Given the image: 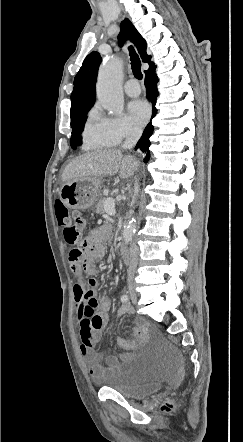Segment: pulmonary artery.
I'll list each match as a JSON object with an SVG mask.
<instances>
[{
    "instance_id": "pulmonary-artery-1",
    "label": "pulmonary artery",
    "mask_w": 243,
    "mask_h": 442,
    "mask_svg": "<svg viewBox=\"0 0 243 442\" xmlns=\"http://www.w3.org/2000/svg\"><path fill=\"white\" fill-rule=\"evenodd\" d=\"M124 91L130 97H137L141 90L137 80L132 78L126 81Z\"/></svg>"
}]
</instances>
